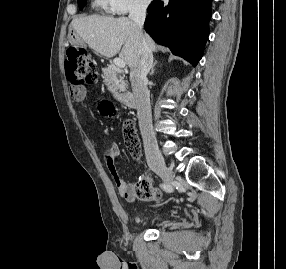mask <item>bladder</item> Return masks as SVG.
Returning a JSON list of instances; mask_svg holds the SVG:
<instances>
[{
	"label": "bladder",
	"instance_id": "obj_1",
	"mask_svg": "<svg viewBox=\"0 0 286 269\" xmlns=\"http://www.w3.org/2000/svg\"><path fill=\"white\" fill-rule=\"evenodd\" d=\"M168 219V215L166 213L157 214L152 218V222L154 223H161Z\"/></svg>",
	"mask_w": 286,
	"mask_h": 269
}]
</instances>
